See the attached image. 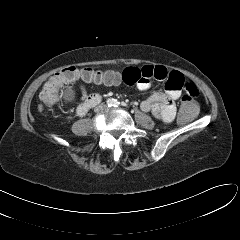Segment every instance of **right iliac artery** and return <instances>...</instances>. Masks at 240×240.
<instances>
[{
	"mask_svg": "<svg viewBox=\"0 0 240 240\" xmlns=\"http://www.w3.org/2000/svg\"><path fill=\"white\" fill-rule=\"evenodd\" d=\"M113 104H114V99H108V100H107V105H108L109 107L113 106Z\"/></svg>",
	"mask_w": 240,
	"mask_h": 240,
	"instance_id": "right-iliac-artery-1",
	"label": "right iliac artery"
}]
</instances>
